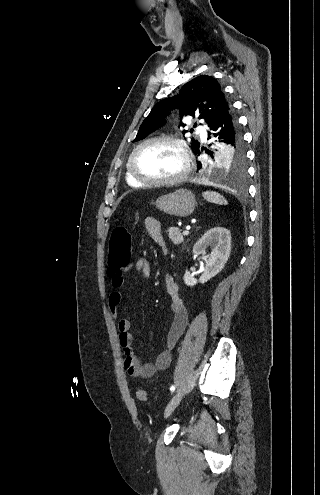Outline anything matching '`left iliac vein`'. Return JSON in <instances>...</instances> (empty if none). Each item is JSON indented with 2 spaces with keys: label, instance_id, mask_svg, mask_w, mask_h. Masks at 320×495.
Listing matches in <instances>:
<instances>
[{
  "label": "left iliac vein",
  "instance_id": "left-iliac-vein-1",
  "mask_svg": "<svg viewBox=\"0 0 320 495\" xmlns=\"http://www.w3.org/2000/svg\"><path fill=\"white\" fill-rule=\"evenodd\" d=\"M182 397H183V391L180 390V391H177L175 393V395L171 398V400L169 401V403L165 409V412H164L165 418L169 417L172 414V412L175 410V408L180 403Z\"/></svg>",
  "mask_w": 320,
  "mask_h": 495
}]
</instances>
